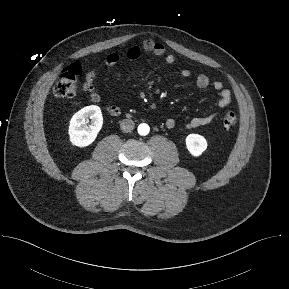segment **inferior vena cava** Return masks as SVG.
<instances>
[{"mask_svg": "<svg viewBox=\"0 0 289 289\" xmlns=\"http://www.w3.org/2000/svg\"><path fill=\"white\" fill-rule=\"evenodd\" d=\"M134 127H135V123L131 119H124L120 123V128L122 132L124 133L131 132L134 129Z\"/></svg>", "mask_w": 289, "mask_h": 289, "instance_id": "1", "label": "inferior vena cava"}]
</instances>
